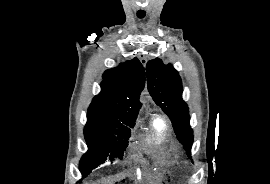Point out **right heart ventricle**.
<instances>
[{
	"mask_svg": "<svg viewBox=\"0 0 270 184\" xmlns=\"http://www.w3.org/2000/svg\"><path fill=\"white\" fill-rule=\"evenodd\" d=\"M168 136L169 128L166 121L161 116H154L149 122L143 139L150 146H164L168 141Z\"/></svg>",
	"mask_w": 270,
	"mask_h": 184,
	"instance_id": "e07e8e85",
	"label": "right heart ventricle"
}]
</instances>
